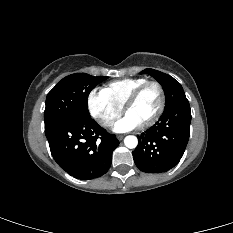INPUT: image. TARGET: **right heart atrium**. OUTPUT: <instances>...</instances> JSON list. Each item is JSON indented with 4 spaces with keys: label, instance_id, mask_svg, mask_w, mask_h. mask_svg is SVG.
Listing matches in <instances>:
<instances>
[{
    "label": "right heart atrium",
    "instance_id": "d8ad5b80",
    "mask_svg": "<svg viewBox=\"0 0 233 233\" xmlns=\"http://www.w3.org/2000/svg\"><path fill=\"white\" fill-rule=\"evenodd\" d=\"M87 106L90 115L103 127L111 126L122 113V107L112 102L102 90L89 93Z\"/></svg>",
    "mask_w": 233,
    "mask_h": 233
}]
</instances>
